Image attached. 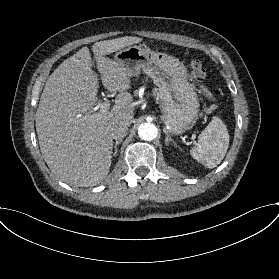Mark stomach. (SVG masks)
Masks as SVG:
<instances>
[{"instance_id":"obj_1","label":"stomach","mask_w":279,"mask_h":279,"mask_svg":"<svg viewBox=\"0 0 279 279\" xmlns=\"http://www.w3.org/2000/svg\"><path fill=\"white\" fill-rule=\"evenodd\" d=\"M114 60L130 76H138L142 70L159 87L162 120L169 133L180 135L193 125L199 100L187 68L178 58L134 45L118 51Z\"/></svg>"}]
</instances>
